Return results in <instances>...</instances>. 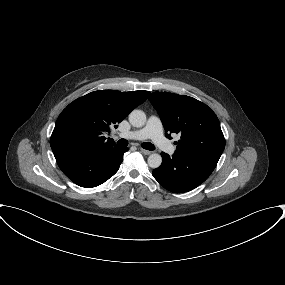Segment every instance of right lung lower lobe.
I'll use <instances>...</instances> for the list:
<instances>
[{
  "label": "right lung lower lobe",
  "mask_w": 285,
  "mask_h": 285,
  "mask_svg": "<svg viewBox=\"0 0 285 285\" xmlns=\"http://www.w3.org/2000/svg\"><path fill=\"white\" fill-rule=\"evenodd\" d=\"M126 147L87 150L80 147L60 148L53 151L58 166L75 184L96 187L119 169Z\"/></svg>",
  "instance_id": "98d812e1"
}]
</instances>
